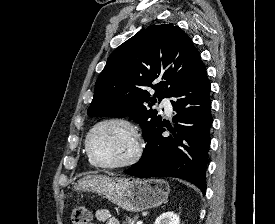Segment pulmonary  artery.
Segmentation results:
<instances>
[{"label": "pulmonary artery", "mask_w": 275, "mask_h": 224, "mask_svg": "<svg viewBox=\"0 0 275 224\" xmlns=\"http://www.w3.org/2000/svg\"><path fill=\"white\" fill-rule=\"evenodd\" d=\"M160 107L164 108L166 113L168 115H170L172 113V105H171V101L170 98H163L160 102Z\"/></svg>", "instance_id": "e3ab8cb5"}]
</instances>
